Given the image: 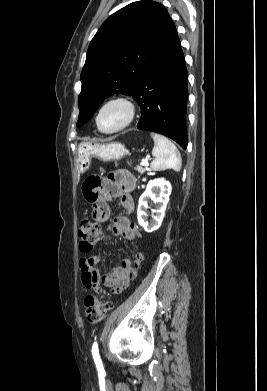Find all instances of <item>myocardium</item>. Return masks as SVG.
I'll return each mask as SVG.
<instances>
[{"mask_svg":"<svg viewBox=\"0 0 267 391\" xmlns=\"http://www.w3.org/2000/svg\"><path fill=\"white\" fill-rule=\"evenodd\" d=\"M112 104L122 105L126 110V118L120 127L116 128L114 130L105 131L101 128L100 123H99L100 115L106 107H108ZM135 114H136V107H135L133 100L130 97L125 96V95H117V96L110 97L109 99H107L106 101H104L101 104V106L99 107V109L96 113V116H95V123H96L98 130L101 133L114 134V133H118V132L124 130L125 128H127L134 120Z\"/></svg>","mask_w":267,"mask_h":391,"instance_id":"myocardium-1","label":"myocardium"}]
</instances>
